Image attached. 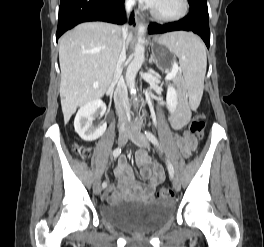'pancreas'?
<instances>
[{"label": "pancreas", "instance_id": "obj_1", "mask_svg": "<svg viewBox=\"0 0 264 247\" xmlns=\"http://www.w3.org/2000/svg\"><path fill=\"white\" fill-rule=\"evenodd\" d=\"M181 79V76L180 75H177L176 77H175V81H179Z\"/></svg>", "mask_w": 264, "mask_h": 247}]
</instances>
